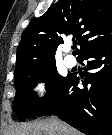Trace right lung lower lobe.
<instances>
[{"instance_id": "98d812e1", "label": "right lung lower lobe", "mask_w": 112, "mask_h": 135, "mask_svg": "<svg viewBox=\"0 0 112 135\" xmlns=\"http://www.w3.org/2000/svg\"><path fill=\"white\" fill-rule=\"evenodd\" d=\"M89 60L83 89L71 74L59 94L37 116L56 114L86 135H112V42L84 52Z\"/></svg>"}]
</instances>
